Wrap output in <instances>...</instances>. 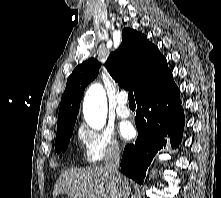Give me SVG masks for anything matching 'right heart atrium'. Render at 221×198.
<instances>
[{
    "instance_id": "right-heart-atrium-1",
    "label": "right heart atrium",
    "mask_w": 221,
    "mask_h": 198,
    "mask_svg": "<svg viewBox=\"0 0 221 198\" xmlns=\"http://www.w3.org/2000/svg\"><path fill=\"white\" fill-rule=\"evenodd\" d=\"M78 139L88 163L117 158L122 152L120 144L109 130H96L83 125L78 129Z\"/></svg>"
}]
</instances>
